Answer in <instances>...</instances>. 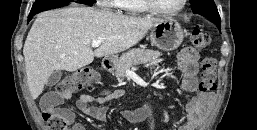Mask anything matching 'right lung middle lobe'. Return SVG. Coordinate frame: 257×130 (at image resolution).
Listing matches in <instances>:
<instances>
[{"label": "right lung middle lobe", "instance_id": "right-lung-middle-lobe-1", "mask_svg": "<svg viewBox=\"0 0 257 130\" xmlns=\"http://www.w3.org/2000/svg\"><path fill=\"white\" fill-rule=\"evenodd\" d=\"M82 3L87 5H92L95 1L94 0H80ZM71 1L67 0H36L33 4L31 12L29 15H34L44 9H49L57 6H64Z\"/></svg>", "mask_w": 257, "mask_h": 130}]
</instances>
